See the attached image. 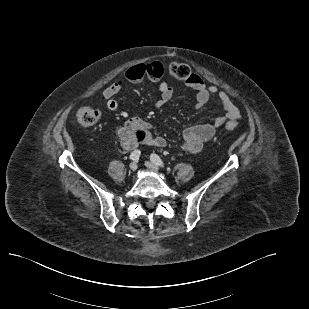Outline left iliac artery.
<instances>
[{"mask_svg":"<svg viewBox=\"0 0 309 309\" xmlns=\"http://www.w3.org/2000/svg\"><path fill=\"white\" fill-rule=\"evenodd\" d=\"M150 159L153 163L160 167H164V162L161 160V158L157 154H151Z\"/></svg>","mask_w":309,"mask_h":309,"instance_id":"obj_1","label":"left iliac artery"}]
</instances>
